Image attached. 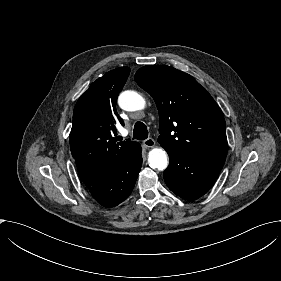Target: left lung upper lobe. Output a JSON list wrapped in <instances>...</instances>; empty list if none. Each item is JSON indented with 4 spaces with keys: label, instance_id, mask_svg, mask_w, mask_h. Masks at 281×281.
Instances as JSON below:
<instances>
[{
    "label": "left lung upper lobe",
    "instance_id": "5c2ea615",
    "mask_svg": "<svg viewBox=\"0 0 281 281\" xmlns=\"http://www.w3.org/2000/svg\"><path fill=\"white\" fill-rule=\"evenodd\" d=\"M137 84L155 100L160 116L158 142L181 155L224 159L227 138L223 113L192 76L173 67L147 65Z\"/></svg>",
    "mask_w": 281,
    "mask_h": 281
}]
</instances>
